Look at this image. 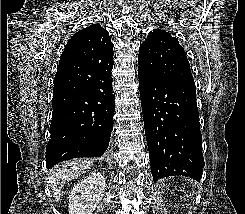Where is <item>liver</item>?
I'll return each mask as SVG.
<instances>
[{"label":"liver","instance_id":"1","mask_svg":"<svg viewBox=\"0 0 245 214\" xmlns=\"http://www.w3.org/2000/svg\"><path fill=\"white\" fill-rule=\"evenodd\" d=\"M93 165L92 160L75 159L66 161L54 167L49 173L47 183L51 187L56 201H59L65 185L84 174Z\"/></svg>","mask_w":245,"mask_h":214}]
</instances>
